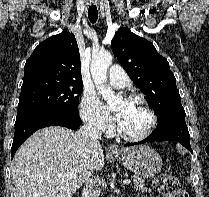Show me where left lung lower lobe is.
<instances>
[{"instance_id": "left-lung-lower-lobe-1", "label": "left lung lower lobe", "mask_w": 209, "mask_h": 197, "mask_svg": "<svg viewBox=\"0 0 209 197\" xmlns=\"http://www.w3.org/2000/svg\"><path fill=\"white\" fill-rule=\"evenodd\" d=\"M185 115V113H177L162 118L158 121L156 129L148 138L138 143H127L125 146L127 147L151 141L168 140L177 141L192 152L190 146V135L185 123Z\"/></svg>"}]
</instances>
